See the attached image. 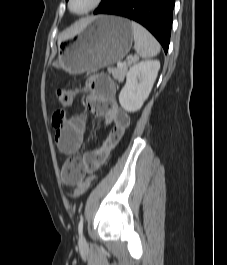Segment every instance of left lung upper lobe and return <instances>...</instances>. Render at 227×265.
I'll return each mask as SVG.
<instances>
[{
	"label": "left lung upper lobe",
	"mask_w": 227,
	"mask_h": 265,
	"mask_svg": "<svg viewBox=\"0 0 227 265\" xmlns=\"http://www.w3.org/2000/svg\"><path fill=\"white\" fill-rule=\"evenodd\" d=\"M66 1H68V0H66ZM107 1H108V0H103V1L101 2L100 6L103 5L104 3H106Z\"/></svg>",
	"instance_id": "left-lung-upper-lobe-1"
}]
</instances>
